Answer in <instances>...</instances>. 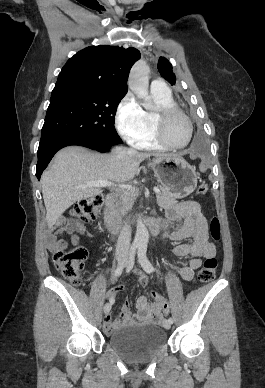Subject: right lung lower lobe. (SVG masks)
<instances>
[{
  "label": "right lung lower lobe",
  "mask_w": 265,
  "mask_h": 388,
  "mask_svg": "<svg viewBox=\"0 0 265 388\" xmlns=\"http://www.w3.org/2000/svg\"><path fill=\"white\" fill-rule=\"evenodd\" d=\"M69 145L84 146L99 152H107L112 147V145L99 144L77 134H59L41 140L38 148V163L36 166V176L38 179H40L43 170L47 167L53 155L61 148Z\"/></svg>",
  "instance_id": "obj_1"
}]
</instances>
